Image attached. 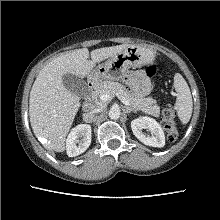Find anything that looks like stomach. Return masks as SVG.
<instances>
[{"instance_id": "1", "label": "stomach", "mask_w": 220, "mask_h": 220, "mask_svg": "<svg viewBox=\"0 0 220 220\" xmlns=\"http://www.w3.org/2000/svg\"><path fill=\"white\" fill-rule=\"evenodd\" d=\"M154 51L139 45H130L95 67L88 76L93 86L104 80L118 81L125 77L129 68H139L154 61Z\"/></svg>"}]
</instances>
